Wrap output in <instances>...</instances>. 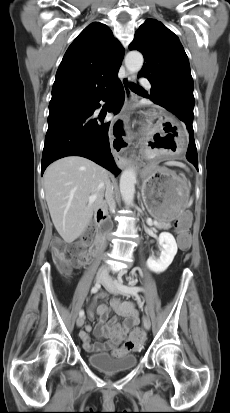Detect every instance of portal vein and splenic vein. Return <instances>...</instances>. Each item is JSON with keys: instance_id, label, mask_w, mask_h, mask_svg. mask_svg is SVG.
<instances>
[{"instance_id": "obj_1", "label": "portal vein and splenic vein", "mask_w": 230, "mask_h": 413, "mask_svg": "<svg viewBox=\"0 0 230 413\" xmlns=\"http://www.w3.org/2000/svg\"><path fill=\"white\" fill-rule=\"evenodd\" d=\"M96 199V195H91L90 197H89V200H95ZM150 222H151V220H150Z\"/></svg>"}]
</instances>
